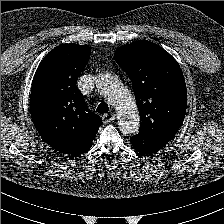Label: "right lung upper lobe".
<instances>
[{"instance_id": "obj_1", "label": "right lung upper lobe", "mask_w": 224, "mask_h": 224, "mask_svg": "<svg viewBox=\"0 0 224 224\" xmlns=\"http://www.w3.org/2000/svg\"><path fill=\"white\" fill-rule=\"evenodd\" d=\"M90 53L86 45L61 44L44 57L32 81L30 114L38 133L70 156L87 152L102 124L76 86Z\"/></svg>"}]
</instances>
